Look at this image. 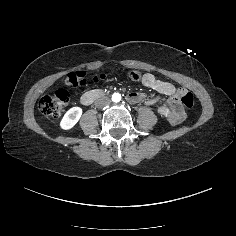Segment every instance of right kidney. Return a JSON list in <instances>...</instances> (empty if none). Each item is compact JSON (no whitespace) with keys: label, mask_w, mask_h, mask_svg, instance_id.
<instances>
[{"label":"right kidney","mask_w":236,"mask_h":236,"mask_svg":"<svg viewBox=\"0 0 236 236\" xmlns=\"http://www.w3.org/2000/svg\"><path fill=\"white\" fill-rule=\"evenodd\" d=\"M83 114V109L79 106H74L66 111L62 119L59 122V128L61 130L72 129L80 120Z\"/></svg>","instance_id":"ca27d5eb"}]
</instances>
